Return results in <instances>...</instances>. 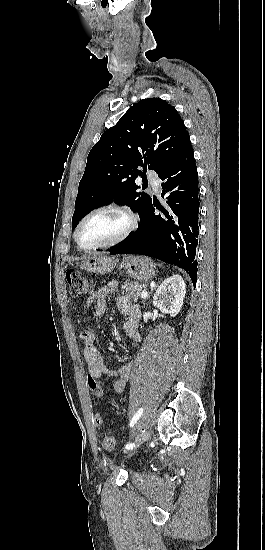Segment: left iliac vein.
Listing matches in <instances>:
<instances>
[{"mask_svg":"<svg viewBox=\"0 0 265 550\" xmlns=\"http://www.w3.org/2000/svg\"><path fill=\"white\" fill-rule=\"evenodd\" d=\"M150 438V433L149 431H144L140 436L139 438L137 439V446H139L140 444H142L144 441L148 440Z\"/></svg>","mask_w":265,"mask_h":550,"instance_id":"4c4485c4","label":"left iliac vein"}]
</instances>
